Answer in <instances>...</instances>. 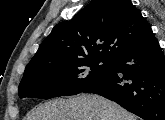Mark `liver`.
I'll use <instances>...</instances> for the list:
<instances>
[{
  "label": "liver",
  "mask_w": 165,
  "mask_h": 120,
  "mask_svg": "<svg viewBox=\"0 0 165 120\" xmlns=\"http://www.w3.org/2000/svg\"><path fill=\"white\" fill-rule=\"evenodd\" d=\"M27 120H137V117L104 97L82 94L39 105Z\"/></svg>",
  "instance_id": "1"
}]
</instances>
